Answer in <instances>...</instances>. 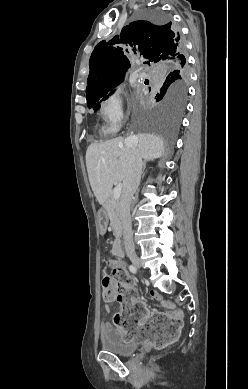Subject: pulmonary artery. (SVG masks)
Wrapping results in <instances>:
<instances>
[{
	"instance_id": "obj_1",
	"label": "pulmonary artery",
	"mask_w": 248,
	"mask_h": 389,
	"mask_svg": "<svg viewBox=\"0 0 248 389\" xmlns=\"http://www.w3.org/2000/svg\"><path fill=\"white\" fill-rule=\"evenodd\" d=\"M142 77V74H140V73H137L136 75H135V79H140Z\"/></svg>"
}]
</instances>
